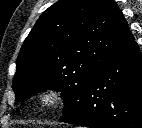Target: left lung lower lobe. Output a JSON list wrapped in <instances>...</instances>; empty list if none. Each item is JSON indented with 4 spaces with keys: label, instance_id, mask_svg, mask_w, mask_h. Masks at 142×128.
Masks as SVG:
<instances>
[{
    "label": "left lung lower lobe",
    "instance_id": "1",
    "mask_svg": "<svg viewBox=\"0 0 142 128\" xmlns=\"http://www.w3.org/2000/svg\"><path fill=\"white\" fill-rule=\"evenodd\" d=\"M90 128H142V53L134 37L116 49L61 120Z\"/></svg>",
    "mask_w": 142,
    "mask_h": 128
}]
</instances>
